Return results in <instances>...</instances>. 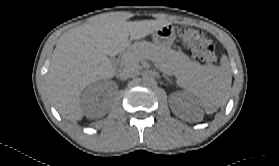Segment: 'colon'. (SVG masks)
<instances>
[{"instance_id": "obj_1", "label": "colon", "mask_w": 279, "mask_h": 166, "mask_svg": "<svg viewBox=\"0 0 279 166\" xmlns=\"http://www.w3.org/2000/svg\"><path fill=\"white\" fill-rule=\"evenodd\" d=\"M182 44L188 48L193 57L208 64H216L217 57L212 42L198 29L181 27L178 30Z\"/></svg>"}]
</instances>
